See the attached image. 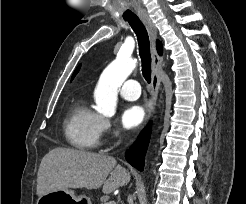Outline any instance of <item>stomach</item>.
I'll return each instance as SVG.
<instances>
[{
    "instance_id": "0dacf381",
    "label": "stomach",
    "mask_w": 246,
    "mask_h": 204,
    "mask_svg": "<svg viewBox=\"0 0 246 204\" xmlns=\"http://www.w3.org/2000/svg\"><path fill=\"white\" fill-rule=\"evenodd\" d=\"M37 204H91V201L85 195H77L73 190L63 189L40 196Z\"/></svg>"
}]
</instances>
